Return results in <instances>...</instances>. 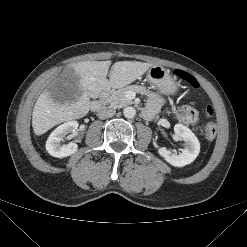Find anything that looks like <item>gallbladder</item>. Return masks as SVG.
Returning a JSON list of instances; mask_svg holds the SVG:
<instances>
[{
  "label": "gallbladder",
  "mask_w": 247,
  "mask_h": 247,
  "mask_svg": "<svg viewBox=\"0 0 247 247\" xmlns=\"http://www.w3.org/2000/svg\"><path fill=\"white\" fill-rule=\"evenodd\" d=\"M68 90L72 94L75 93V89L70 88V81L64 76H61L48 88L49 92H54L56 94L64 93ZM70 98L73 97L71 96Z\"/></svg>",
  "instance_id": "gallbladder-1"
}]
</instances>
